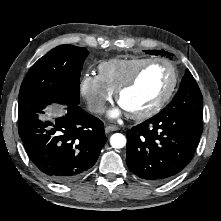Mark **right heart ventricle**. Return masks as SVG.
Segmentation results:
<instances>
[{
  "instance_id": "obj_1",
  "label": "right heart ventricle",
  "mask_w": 221,
  "mask_h": 221,
  "mask_svg": "<svg viewBox=\"0 0 221 221\" xmlns=\"http://www.w3.org/2000/svg\"><path fill=\"white\" fill-rule=\"evenodd\" d=\"M146 60L148 58L130 57L103 61L98 66L99 76L104 84L114 93Z\"/></svg>"
}]
</instances>
